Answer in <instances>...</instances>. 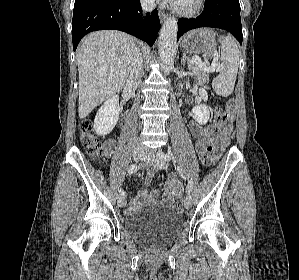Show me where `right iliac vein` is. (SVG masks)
I'll list each match as a JSON object with an SVG mask.
<instances>
[{
	"mask_svg": "<svg viewBox=\"0 0 299 280\" xmlns=\"http://www.w3.org/2000/svg\"><path fill=\"white\" fill-rule=\"evenodd\" d=\"M145 155V151L143 148L141 147H135L134 150H133V159L135 161H139L141 160ZM118 205L120 207H125L126 205V199H125V196L124 195H120L118 197Z\"/></svg>",
	"mask_w": 299,
	"mask_h": 280,
	"instance_id": "1",
	"label": "right iliac vein"
}]
</instances>
